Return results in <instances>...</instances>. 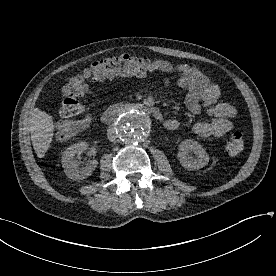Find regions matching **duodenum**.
Wrapping results in <instances>:
<instances>
[{
  "instance_id": "duodenum-1",
  "label": "duodenum",
  "mask_w": 276,
  "mask_h": 276,
  "mask_svg": "<svg viewBox=\"0 0 276 276\" xmlns=\"http://www.w3.org/2000/svg\"><path fill=\"white\" fill-rule=\"evenodd\" d=\"M129 109L144 111L156 118L157 120L163 119V114L159 108L151 105H146L143 103H132L126 105H114L107 108L101 115V121L105 124H111L117 119L120 113Z\"/></svg>"
}]
</instances>
